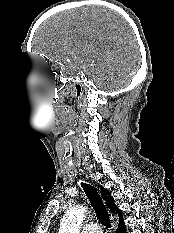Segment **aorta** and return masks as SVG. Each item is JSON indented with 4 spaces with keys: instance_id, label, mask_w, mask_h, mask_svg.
<instances>
[{
    "instance_id": "762f6f07",
    "label": "aorta",
    "mask_w": 174,
    "mask_h": 233,
    "mask_svg": "<svg viewBox=\"0 0 174 233\" xmlns=\"http://www.w3.org/2000/svg\"><path fill=\"white\" fill-rule=\"evenodd\" d=\"M85 212V207L81 205L67 210L62 218L59 233H80Z\"/></svg>"
}]
</instances>
